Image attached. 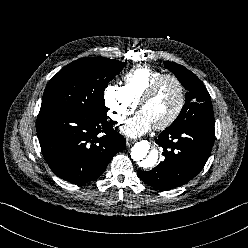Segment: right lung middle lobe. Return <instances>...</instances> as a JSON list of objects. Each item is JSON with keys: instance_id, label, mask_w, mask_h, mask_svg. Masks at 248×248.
<instances>
[{"instance_id": "obj_1", "label": "right lung middle lobe", "mask_w": 248, "mask_h": 248, "mask_svg": "<svg viewBox=\"0 0 248 248\" xmlns=\"http://www.w3.org/2000/svg\"><path fill=\"white\" fill-rule=\"evenodd\" d=\"M126 63L85 57L62 68L48 83L40 111L57 110L86 116L107 117L104 90Z\"/></svg>"}]
</instances>
